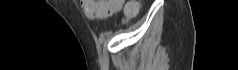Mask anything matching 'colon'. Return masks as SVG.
Listing matches in <instances>:
<instances>
[{
    "label": "colon",
    "mask_w": 238,
    "mask_h": 70,
    "mask_svg": "<svg viewBox=\"0 0 238 70\" xmlns=\"http://www.w3.org/2000/svg\"><path fill=\"white\" fill-rule=\"evenodd\" d=\"M125 0H82L83 10L88 18L101 19L109 17L113 12H120ZM140 7V1H129L125 12L128 16L134 15Z\"/></svg>",
    "instance_id": "5ec220e1"
}]
</instances>
